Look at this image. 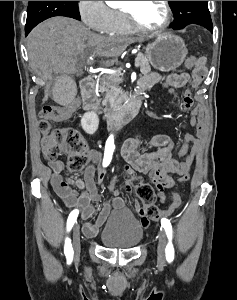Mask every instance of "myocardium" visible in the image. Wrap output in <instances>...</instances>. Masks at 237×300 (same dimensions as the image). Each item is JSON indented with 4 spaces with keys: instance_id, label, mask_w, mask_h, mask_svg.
<instances>
[{
    "instance_id": "myocardium-1",
    "label": "myocardium",
    "mask_w": 237,
    "mask_h": 300,
    "mask_svg": "<svg viewBox=\"0 0 237 300\" xmlns=\"http://www.w3.org/2000/svg\"><path fill=\"white\" fill-rule=\"evenodd\" d=\"M163 3L165 6V19L164 22L159 27L156 28H149L140 24L134 12L130 8L123 7L122 12L124 13L127 21L129 22V24L134 30L142 31V32H150V33H161L168 28L172 18V9L170 5V1H163Z\"/></svg>"
}]
</instances>
